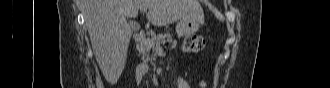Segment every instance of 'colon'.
Instances as JSON below:
<instances>
[{"label": "colon", "mask_w": 330, "mask_h": 88, "mask_svg": "<svg viewBox=\"0 0 330 88\" xmlns=\"http://www.w3.org/2000/svg\"><path fill=\"white\" fill-rule=\"evenodd\" d=\"M205 47V39L201 35H189L183 42V50L187 53H199Z\"/></svg>", "instance_id": "5ec220e1"}]
</instances>
